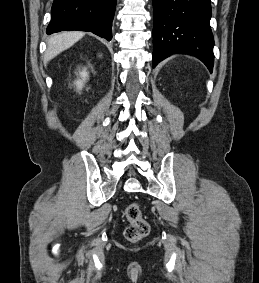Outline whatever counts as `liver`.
I'll return each mask as SVG.
<instances>
[{
	"instance_id": "obj_1",
	"label": "liver",
	"mask_w": 259,
	"mask_h": 283,
	"mask_svg": "<svg viewBox=\"0 0 259 283\" xmlns=\"http://www.w3.org/2000/svg\"><path fill=\"white\" fill-rule=\"evenodd\" d=\"M85 33L78 31L63 32L52 35L47 41V50L44 55V64L56 57L62 51L73 46Z\"/></svg>"
}]
</instances>
